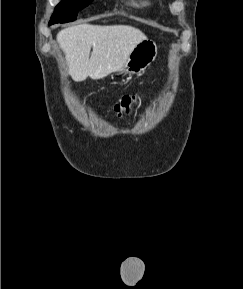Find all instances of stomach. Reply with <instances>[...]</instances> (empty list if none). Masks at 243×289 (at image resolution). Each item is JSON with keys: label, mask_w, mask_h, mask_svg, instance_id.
I'll return each instance as SVG.
<instances>
[{"label": "stomach", "mask_w": 243, "mask_h": 289, "mask_svg": "<svg viewBox=\"0 0 243 289\" xmlns=\"http://www.w3.org/2000/svg\"><path fill=\"white\" fill-rule=\"evenodd\" d=\"M156 56V43L150 39H145L134 47L124 67L118 72L121 74H140L155 60Z\"/></svg>", "instance_id": "obj_1"}]
</instances>
